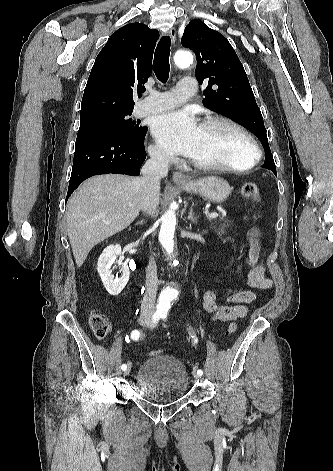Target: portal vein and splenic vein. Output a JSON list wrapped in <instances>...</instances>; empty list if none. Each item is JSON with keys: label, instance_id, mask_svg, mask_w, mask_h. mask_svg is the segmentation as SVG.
<instances>
[{"label": "portal vein and splenic vein", "instance_id": "portal-vein-and-splenic-vein-1", "mask_svg": "<svg viewBox=\"0 0 333 471\" xmlns=\"http://www.w3.org/2000/svg\"><path fill=\"white\" fill-rule=\"evenodd\" d=\"M218 216H219V214H218L217 212H213V213H210V214L208 215V218H209V219H215V218H217Z\"/></svg>", "mask_w": 333, "mask_h": 471}]
</instances>
